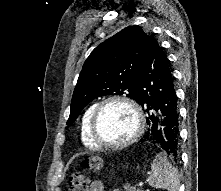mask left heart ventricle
I'll return each mask as SVG.
<instances>
[{
    "instance_id": "b2bd125f",
    "label": "left heart ventricle",
    "mask_w": 221,
    "mask_h": 191,
    "mask_svg": "<svg viewBox=\"0 0 221 191\" xmlns=\"http://www.w3.org/2000/svg\"><path fill=\"white\" fill-rule=\"evenodd\" d=\"M136 127L133 111L122 103L104 107L98 121L100 137L109 143H119L129 138Z\"/></svg>"
}]
</instances>
